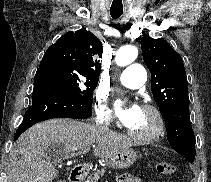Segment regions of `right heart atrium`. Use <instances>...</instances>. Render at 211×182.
I'll return each instance as SVG.
<instances>
[{"mask_svg":"<svg viewBox=\"0 0 211 182\" xmlns=\"http://www.w3.org/2000/svg\"><path fill=\"white\" fill-rule=\"evenodd\" d=\"M93 113L99 124L107 125L113 121V113L110 109L106 96L97 92L93 102Z\"/></svg>","mask_w":211,"mask_h":182,"instance_id":"right-heart-atrium-1","label":"right heart atrium"}]
</instances>
